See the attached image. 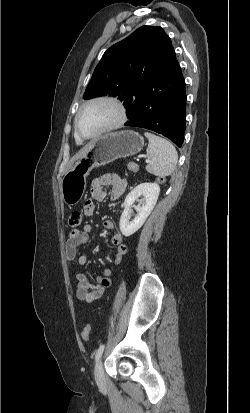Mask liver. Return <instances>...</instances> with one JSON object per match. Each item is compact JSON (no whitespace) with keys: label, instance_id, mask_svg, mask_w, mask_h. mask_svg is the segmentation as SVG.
Here are the masks:
<instances>
[{"label":"liver","instance_id":"liver-1","mask_svg":"<svg viewBox=\"0 0 250 413\" xmlns=\"http://www.w3.org/2000/svg\"><path fill=\"white\" fill-rule=\"evenodd\" d=\"M91 146H92V143L88 144L82 150H80L78 154H76V156L72 159V162H74L75 160H78L80 157L85 155L90 150Z\"/></svg>","mask_w":250,"mask_h":413}]
</instances>
